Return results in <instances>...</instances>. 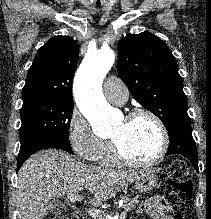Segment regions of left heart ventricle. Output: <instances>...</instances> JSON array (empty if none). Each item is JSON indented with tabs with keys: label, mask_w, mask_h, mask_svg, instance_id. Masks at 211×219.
<instances>
[{
	"label": "left heart ventricle",
	"mask_w": 211,
	"mask_h": 219,
	"mask_svg": "<svg viewBox=\"0 0 211 219\" xmlns=\"http://www.w3.org/2000/svg\"><path fill=\"white\" fill-rule=\"evenodd\" d=\"M111 139L119 143L128 157L136 160L153 158L161 144L159 128L147 116H140L132 121L122 120L113 130Z\"/></svg>",
	"instance_id": "b2bd125f"
}]
</instances>
